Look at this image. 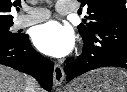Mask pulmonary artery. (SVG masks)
<instances>
[{
	"mask_svg": "<svg viewBox=\"0 0 127 92\" xmlns=\"http://www.w3.org/2000/svg\"><path fill=\"white\" fill-rule=\"evenodd\" d=\"M56 10L60 14H69L74 11V8L71 4H68L65 1H58L56 4ZM25 12V15H21L16 19V27H27L45 21L50 17V12L46 8H27L25 9Z\"/></svg>",
	"mask_w": 127,
	"mask_h": 92,
	"instance_id": "e3ab8cb5",
	"label": "pulmonary artery"
}]
</instances>
